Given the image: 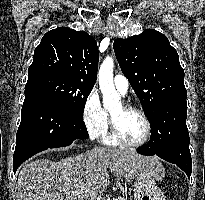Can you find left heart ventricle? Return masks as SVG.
Returning <instances> with one entry per match:
<instances>
[{
  "mask_svg": "<svg viewBox=\"0 0 205 200\" xmlns=\"http://www.w3.org/2000/svg\"><path fill=\"white\" fill-rule=\"evenodd\" d=\"M122 136L129 142L136 143L143 139L146 125L143 118L136 112L126 111L122 104L110 111Z\"/></svg>",
  "mask_w": 205,
  "mask_h": 200,
  "instance_id": "b2bd125f",
  "label": "left heart ventricle"
}]
</instances>
